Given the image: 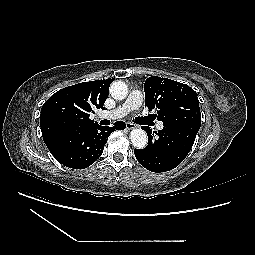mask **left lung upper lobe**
Instances as JSON below:
<instances>
[{
    "instance_id": "5c2ea615",
    "label": "left lung upper lobe",
    "mask_w": 255,
    "mask_h": 255,
    "mask_svg": "<svg viewBox=\"0 0 255 255\" xmlns=\"http://www.w3.org/2000/svg\"><path fill=\"white\" fill-rule=\"evenodd\" d=\"M145 105L163 124H201L197 93L188 85L161 77H149L144 84Z\"/></svg>"
}]
</instances>
